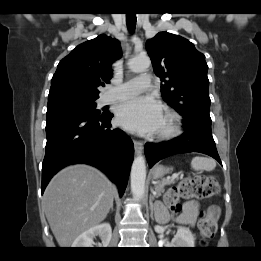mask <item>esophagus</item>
Masks as SVG:
<instances>
[{
  "label": "esophagus",
  "instance_id": "1",
  "mask_svg": "<svg viewBox=\"0 0 261 261\" xmlns=\"http://www.w3.org/2000/svg\"><path fill=\"white\" fill-rule=\"evenodd\" d=\"M134 148L136 153H141L143 150V143L137 140H134Z\"/></svg>",
  "mask_w": 261,
  "mask_h": 261
}]
</instances>
